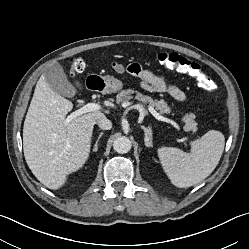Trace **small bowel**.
I'll return each instance as SVG.
<instances>
[{"instance_id":"obj_1","label":"small bowel","mask_w":249,"mask_h":249,"mask_svg":"<svg viewBox=\"0 0 249 249\" xmlns=\"http://www.w3.org/2000/svg\"><path fill=\"white\" fill-rule=\"evenodd\" d=\"M116 71L128 73L136 76L140 80L141 87L153 93H168L177 101H185L186 95L177 84L168 83L163 77L154 74L152 71L142 68L138 64L127 66L124 70L116 69Z\"/></svg>"}]
</instances>
